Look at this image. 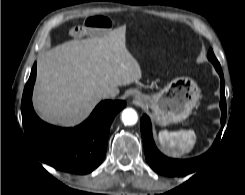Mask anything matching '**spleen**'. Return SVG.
Wrapping results in <instances>:
<instances>
[{
	"mask_svg": "<svg viewBox=\"0 0 245 195\" xmlns=\"http://www.w3.org/2000/svg\"><path fill=\"white\" fill-rule=\"evenodd\" d=\"M158 140L161 150L172 157H181L189 153L196 142V134L193 130H179L159 132Z\"/></svg>",
	"mask_w": 245,
	"mask_h": 195,
	"instance_id": "1",
	"label": "spleen"
}]
</instances>
